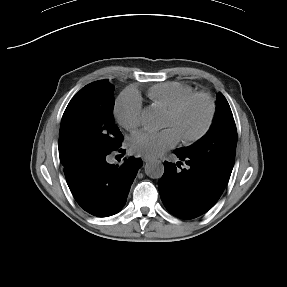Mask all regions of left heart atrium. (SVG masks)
Instances as JSON below:
<instances>
[{
	"instance_id": "obj_1",
	"label": "left heart atrium",
	"mask_w": 287,
	"mask_h": 287,
	"mask_svg": "<svg viewBox=\"0 0 287 287\" xmlns=\"http://www.w3.org/2000/svg\"><path fill=\"white\" fill-rule=\"evenodd\" d=\"M179 136L173 128H166L159 132H140L131 140L132 150L144 157H156L174 147Z\"/></svg>"
}]
</instances>
